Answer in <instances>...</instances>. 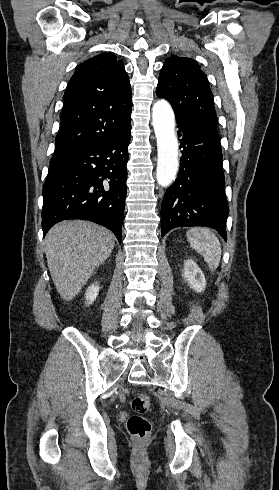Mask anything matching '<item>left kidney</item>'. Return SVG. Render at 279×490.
<instances>
[{
    "label": "left kidney",
    "mask_w": 279,
    "mask_h": 490,
    "mask_svg": "<svg viewBox=\"0 0 279 490\" xmlns=\"http://www.w3.org/2000/svg\"><path fill=\"white\" fill-rule=\"evenodd\" d=\"M183 276L191 290L198 292V294L204 292L206 288L205 276L193 260H186L184 262Z\"/></svg>",
    "instance_id": "left-kidney-1"
}]
</instances>
